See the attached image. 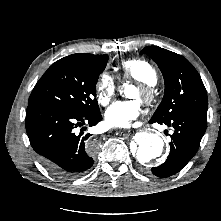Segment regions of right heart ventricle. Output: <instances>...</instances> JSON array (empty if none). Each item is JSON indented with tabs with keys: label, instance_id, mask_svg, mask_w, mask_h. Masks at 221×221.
Masks as SVG:
<instances>
[{
	"label": "right heart ventricle",
	"instance_id": "1",
	"mask_svg": "<svg viewBox=\"0 0 221 221\" xmlns=\"http://www.w3.org/2000/svg\"><path fill=\"white\" fill-rule=\"evenodd\" d=\"M123 80H135L148 85H155L157 74L153 66L145 59L134 58L124 61L120 66Z\"/></svg>",
	"mask_w": 221,
	"mask_h": 221
}]
</instances>
